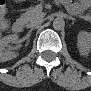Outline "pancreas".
I'll use <instances>...</instances> for the list:
<instances>
[{"instance_id":"cf45deb5","label":"pancreas","mask_w":91,"mask_h":91,"mask_svg":"<svg viewBox=\"0 0 91 91\" xmlns=\"http://www.w3.org/2000/svg\"><path fill=\"white\" fill-rule=\"evenodd\" d=\"M74 15H78L79 13L74 11ZM43 16L42 9L38 6L36 7H30L27 12H25L22 16L21 19L28 25L30 22H34L35 20L41 18ZM81 18H84L85 20L89 21L90 16L89 15H79Z\"/></svg>"}]
</instances>
